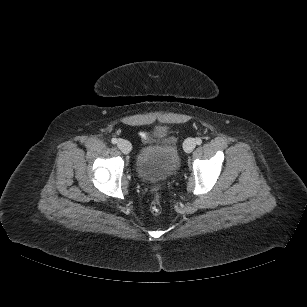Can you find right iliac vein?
Returning <instances> with one entry per match:
<instances>
[{
  "instance_id": "right-iliac-vein-1",
  "label": "right iliac vein",
  "mask_w": 307,
  "mask_h": 307,
  "mask_svg": "<svg viewBox=\"0 0 307 307\" xmlns=\"http://www.w3.org/2000/svg\"><path fill=\"white\" fill-rule=\"evenodd\" d=\"M117 146L124 154H128L131 151V144L126 140H119Z\"/></svg>"
}]
</instances>
